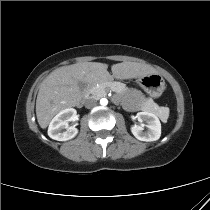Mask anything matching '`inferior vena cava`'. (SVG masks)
<instances>
[{
	"label": "inferior vena cava",
	"instance_id": "602c4592",
	"mask_svg": "<svg viewBox=\"0 0 210 210\" xmlns=\"http://www.w3.org/2000/svg\"><path fill=\"white\" fill-rule=\"evenodd\" d=\"M96 105H97V100L94 98H90V99L86 100V102H85V107L88 109L93 108Z\"/></svg>",
	"mask_w": 210,
	"mask_h": 210
}]
</instances>
